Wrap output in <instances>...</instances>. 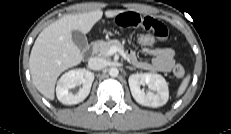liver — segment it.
Here are the masks:
<instances>
[{"label": "liver", "mask_w": 231, "mask_h": 134, "mask_svg": "<svg viewBox=\"0 0 231 134\" xmlns=\"http://www.w3.org/2000/svg\"><path fill=\"white\" fill-rule=\"evenodd\" d=\"M122 10H107V18L115 17ZM103 11L68 14L51 23L38 35L29 58L33 84L46 98L54 99L58 76L68 68L78 65L83 56L72 40V31L88 33L102 18Z\"/></svg>", "instance_id": "1"}]
</instances>
